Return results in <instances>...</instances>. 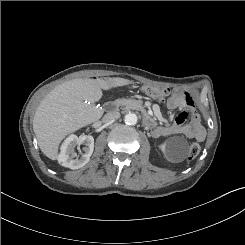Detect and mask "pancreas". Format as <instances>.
Returning a JSON list of instances; mask_svg holds the SVG:
<instances>
[{
  "label": "pancreas",
  "instance_id": "1",
  "mask_svg": "<svg viewBox=\"0 0 245 245\" xmlns=\"http://www.w3.org/2000/svg\"><path fill=\"white\" fill-rule=\"evenodd\" d=\"M117 107H121L124 110H141L142 109V101L141 100H134V99H118L116 100Z\"/></svg>",
  "mask_w": 245,
  "mask_h": 245
}]
</instances>
